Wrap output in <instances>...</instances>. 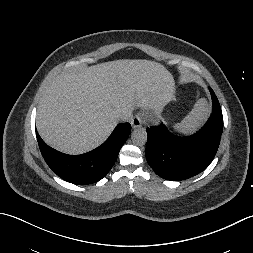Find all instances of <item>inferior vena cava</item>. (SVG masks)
<instances>
[{
    "label": "inferior vena cava",
    "instance_id": "602c4592",
    "mask_svg": "<svg viewBox=\"0 0 253 253\" xmlns=\"http://www.w3.org/2000/svg\"><path fill=\"white\" fill-rule=\"evenodd\" d=\"M119 121L129 122L132 119V111H125L117 115Z\"/></svg>",
    "mask_w": 253,
    "mask_h": 253
}]
</instances>
